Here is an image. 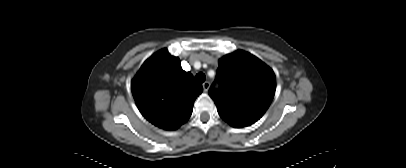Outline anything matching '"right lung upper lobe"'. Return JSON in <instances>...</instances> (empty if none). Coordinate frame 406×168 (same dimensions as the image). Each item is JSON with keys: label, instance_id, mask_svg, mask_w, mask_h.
Listing matches in <instances>:
<instances>
[{"label": "right lung upper lobe", "instance_id": "obj_1", "mask_svg": "<svg viewBox=\"0 0 406 168\" xmlns=\"http://www.w3.org/2000/svg\"><path fill=\"white\" fill-rule=\"evenodd\" d=\"M141 114L152 124L173 130L192 114L193 104L203 91L190 72L181 68L178 57L163 49L145 61L131 84Z\"/></svg>", "mask_w": 406, "mask_h": 168}]
</instances>
